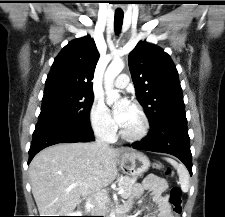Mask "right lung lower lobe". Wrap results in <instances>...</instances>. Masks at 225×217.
<instances>
[{"label": "right lung lower lobe", "mask_w": 225, "mask_h": 217, "mask_svg": "<svg viewBox=\"0 0 225 217\" xmlns=\"http://www.w3.org/2000/svg\"><path fill=\"white\" fill-rule=\"evenodd\" d=\"M94 134L87 121H74L53 115H39L29 150V162L42 149L58 144L89 142Z\"/></svg>", "instance_id": "98d812e1"}]
</instances>
